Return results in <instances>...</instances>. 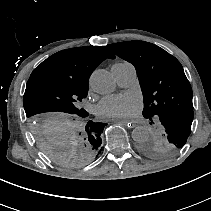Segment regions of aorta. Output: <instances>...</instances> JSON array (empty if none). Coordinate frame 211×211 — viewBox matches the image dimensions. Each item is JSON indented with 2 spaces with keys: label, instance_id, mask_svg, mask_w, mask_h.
<instances>
[{
  "label": "aorta",
  "instance_id": "1",
  "mask_svg": "<svg viewBox=\"0 0 211 211\" xmlns=\"http://www.w3.org/2000/svg\"><path fill=\"white\" fill-rule=\"evenodd\" d=\"M90 85L98 94H108L115 89V81L111 74L103 69L95 70L90 77ZM132 138L140 143L149 138L148 130L143 126H137L132 131Z\"/></svg>",
  "mask_w": 211,
  "mask_h": 211
}]
</instances>
